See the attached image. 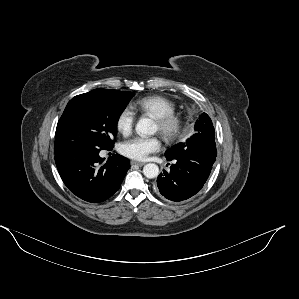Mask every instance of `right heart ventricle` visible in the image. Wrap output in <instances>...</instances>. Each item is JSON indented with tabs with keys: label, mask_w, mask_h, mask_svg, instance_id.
Returning <instances> with one entry per match:
<instances>
[{
	"label": "right heart ventricle",
	"mask_w": 299,
	"mask_h": 299,
	"mask_svg": "<svg viewBox=\"0 0 299 299\" xmlns=\"http://www.w3.org/2000/svg\"><path fill=\"white\" fill-rule=\"evenodd\" d=\"M132 107L134 110L150 115L155 119L175 113L176 110L175 103L171 99L161 95L142 97L134 102Z\"/></svg>",
	"instance_id": "e07e8e85"
}]
</instances>
